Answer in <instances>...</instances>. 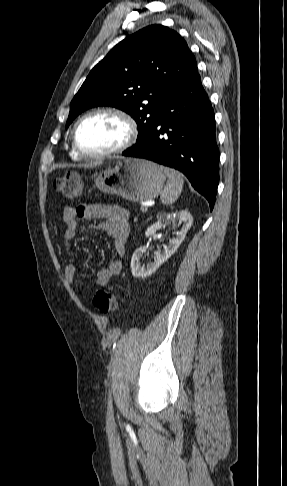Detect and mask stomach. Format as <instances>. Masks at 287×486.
<instances>
[{"label":"stomach","mask_w":287,"mask_h":486,"mask_svg":"<svg viewBox=\"0 0 287 486\" xmlns=\"http://www.w3.org/2000/svg\"><path fill=\"white\" fill-rule=\"evenodd\" d=\"M113 167L102 171L95 180L106 194L119 195L130 201H146L158 196L166 180L162 167L139 158L112 159Z\"/></svg>","instance_id":"stomach-1"}]
</instances>
